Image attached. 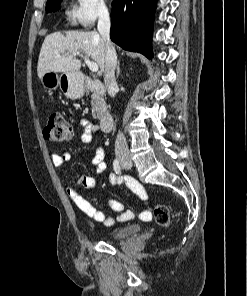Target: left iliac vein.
I'll return each mask as SVG.
<instances>
[{
  "label": "left iliac vein",
  "mask_w": 247,
  "mask_h": 296,
  "mask_svg": "<svg viewBox=\"0 0 247 296\" xmlns=\"http://www.w3.org/2000/svg\"><path fill=\"white\" fill-rule=\"evenodd\" d=\"M122 166H123L124 169H130L132 167V164L131 163L128 164V165L123 164Z\"/></svg>",
  "instance_id": "1"
}]
</instances>
